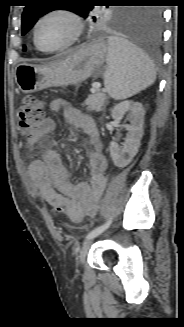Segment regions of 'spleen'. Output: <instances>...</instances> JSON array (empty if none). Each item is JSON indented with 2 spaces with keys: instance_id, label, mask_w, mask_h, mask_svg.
I'll list each match as a JSON object with an SVG mask.
<instances>
[{
  "instance_id": "3e777b00",
  "label": "spleen",
  "mask_w": 184,
  "mask_h": 327,
  "mask_svg": "<svg viewBox=\"0 0 184 327\" xmlns=\"http://www.w3.org/2000/svg\"><path fill=\"white\" fill-rule=\"evenodd\" d=\"M156 72L149 57L119 36L108 37L104 85L115 100L126 99L154 83Z\"/></svg>"
}]
</instances>
